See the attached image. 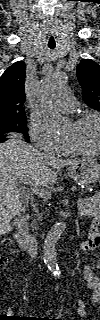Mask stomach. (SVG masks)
<instances>
[{
	"mask_svg": "<svg viewBox=\"0 0 100 320\" xmlns=\"http://www.w3.org/2000/svg\"><path fill=\"white\" fill-rule=\"evenodd\" d=\"M68 175L82 184L94 183L100 179V164L92 158H83L69 166Z\"/></svg>",
	"mask_w": 100,
	"mask_h": 320,
	"instance_id": "1",
	"label": "stomach"
}]
</instances>
